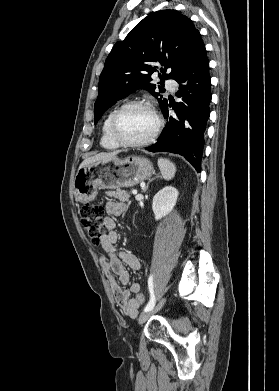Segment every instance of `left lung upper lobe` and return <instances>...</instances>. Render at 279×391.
Returning a JSON list of instances; mask_svg holds the SVG:
<instances>
[{"mask_svg":"<svg viewBox=\"0 0 279 391\" xmlns=\"http://www.w3.org/2000/svg\"><path fill=\"white\" fill-rule=\"evenodd\" d=\"M203 47L193 22L175 10L144 18L124 41L114 45L105 61L94 105L95 124L111 105L139 88L157 98L163 111L168 101L156 91L161 87L151 82V75L158 72L161 84L165 79L178 80Z\"/></svg>","mask_w":279,"mask_h":391,"instance_id":"left-lung-upper-lobe-1","label":"left lung upper lobe"}]
</instances>
